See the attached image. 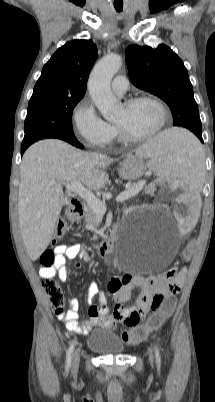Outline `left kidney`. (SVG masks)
I'll list each match as a JSON object with an SVG mask.
<instances>
[{
  "instance_id": "5707ae66",
  "label": "left kidney",
  "mask_w": 215,
  "mask_h": 402,
  "mask_svg": "<svg viewBox=\"0 0 215 402\" xmlns=\"http://www.w3.org/2000/svg\"><path fill=\"white\" fill-rule=\"evenodd\" d=\"M159 184H150L148 191L150 193H160L161 200H172L173 209L180 215L179 237L184 239V232H194L196 225L194 222L200 221L199 208L201 202L196 200L198 193L193 184H187L184 179L162 178L157 182Z\"/></svg>"
}]
</instances>
